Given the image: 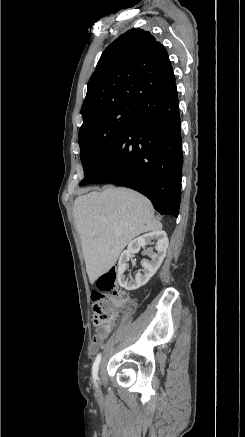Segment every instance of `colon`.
<instances>
[{
  "label": "colon",
  "mask_w": 245,
  "mask_h": 437,
  "mask_svg": "<svg viewBox=\"0 0 245 437\" xmlns=\"http://www.w3.org/2000/svg\"><path fill=\"white\" fill-rule=\"evenodd\" d=\"M92 291L95 336L107 335L116 317V307L127 302L124 293L117 290V270L115 267L103 273Z\"/></svg>",
  "instance_id": "1"
}]
</instances>
